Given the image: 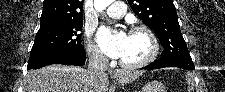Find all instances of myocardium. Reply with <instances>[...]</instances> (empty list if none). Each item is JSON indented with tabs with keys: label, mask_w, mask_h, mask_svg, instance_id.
Wrapping results in <instances>:
<instances>
[{
	"label": "myocardium",
	"mask_w": 225,
	"mask_h": 92,
	"mask_svg": "<svg viewBox=\"0 0 225 92\" xmlns=\"http://www.w3.org/2000/svg\"><path fill=\"white\" fill-rule=\"evenodd\" d=\"M138 32L144 33L148 37L151 44V51L146 58L135 63H127L123 60H120V65L123 68L138 69V68L145 67L148 64H150L157 57L159 53V41L155 33L149 27L145 25H136L132 27L130 30V33H138Z\"/></svg>",
	"instance_id": "myocardium-1"
}]
</instances>
